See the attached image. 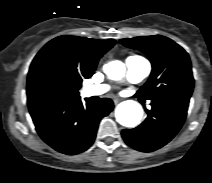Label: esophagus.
Wrapping results in <instances>:
<instances>
[{"label":"esophagus","instance_id":"esophagus-1","mask_svg":"<svg viewBox=\"0 0 212 183\" xmlns=\"http://www.w3.org/2000/svg\"><path fill=\"white\" fill-rule=\"evenodd\" d=\"M119 102V99H114V103L117 104Z\"/></svg>","mask_w":212,"mask_h":183}]
</instances>
